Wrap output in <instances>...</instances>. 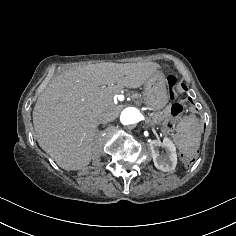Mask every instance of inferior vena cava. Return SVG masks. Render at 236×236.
I'll use <instances>...</instances> for the list:
<instances>
[{"mask_svg": "<svg viewBox=\"0 0 236 236\" xmlns=\"http://www.w3.org/2000/svg\"><path fill=\"white\" fill-rule=\"evenodd\" d=\"M93 117H94L96 120H99V119L102 117V114H101L99 111H96V112L93 114Z\"/></svg>", "mask_w": 236, "mask_h": 236, "instance_id": "602c4592", "label": "inferior vena cava"}]
</instances>
